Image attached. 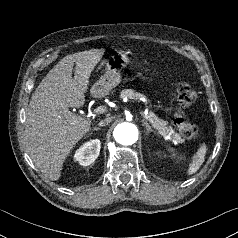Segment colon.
Here are the masks:
<instances>
[{"mask_svg": "<svg viewBox=\"0 0 238 238\" xmlns=\"http://www.w3.org/2000/svg\"><path fill=\"white\" fill-rule=\"evenodd\" d=\"M176 96L179 110L175 113L172 122L182 137L186 139L195 138L198 135V128L185 117L183 110L194 103L196 92L188 84L180 83L176 88Z\"/></svg>", "mask_w": 238, "mask_h": 238, "instance_id": "5ec220e1", "label": "colon"}]
</instances>
